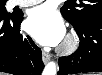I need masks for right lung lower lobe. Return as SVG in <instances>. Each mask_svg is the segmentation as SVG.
I'll list each match as a JSON object with an SVG mask.
<instances>
[{
    "mask_svg": "<svg viewBox=\"0 0 102 75\" xmlns=\"http://www.w3.org/2000/svg\"><path fill=\"white\" fill-rule=\"evenodd\" d=\"M23 14L0 16V72L14 75H40L42 52L29 36L20 33Z\"/></svg>",
    "mask_w": 102,
    "mask_h": 75,
    "instance_id": "1",
    "label": "right lung lower lobe"
}]
</instances>
